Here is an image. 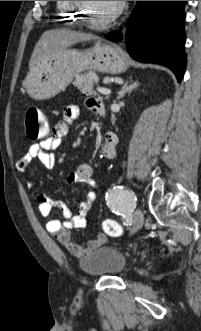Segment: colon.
<instances>
[{"label":"colon","mask_w":201,"mask_h":331,"mask_svg":"<svg viewBox=\"0 0 201 331\" xmlns=\"http://www.w3.org/2000/svg\"><path fill=\"white\" fill-rule=\"evenodd\" d=\"M25 132L26 135L33 140L44 139L49 134V124L45 115L36 108H30L25 116ZM104 234H99L97 241L101 244L106 241V236L118 237L122 234L120 225L111 219H106L103 222Z\"/></svg>","instance_id":"obj_1"}]
</instances>
